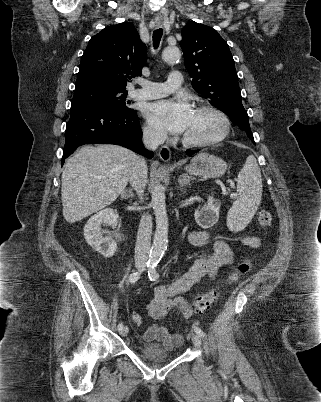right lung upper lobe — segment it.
Segmentation results:
<instances>
[{"instance_id":"1","label":"right lung upper lobe","mask_w":321,"mask_h":402,"mask_svg":"<svg viewBox=\"0 0 321 402\" xmlns=\"http://www.w3.org/2000/svg\"><path fill=\"white\" fill-rule=\"evenodd\" d=\"M146 45L130 22L104 28L93 36L81 58L76 84L100 83L126 89L127 82L142 75Z\"/></svg>"}]
</instances>
